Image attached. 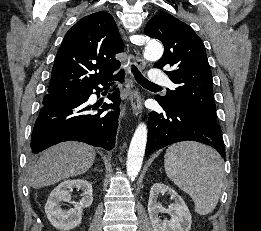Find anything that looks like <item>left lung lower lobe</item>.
Segmentation results:
<instances>
[{
    "mask_svg": "<svg viewBox=\"0 0 261 231\" xmlns=\"http://www.w3.org/2000/svg\"><path fill=\"white\" fill-rule=\"evenodd\" d=\"M156 101L164 113L151 112L148 120L146 155L180 141H197L215 148L225 158L222 131L217 121L183 105H166Z\"/></svg>",
    "mask_w": 261,
    "mask_h": 231,
    "instance_id": "obj_1",
    "label": "left lung lower lobe"
}]
</instances>
